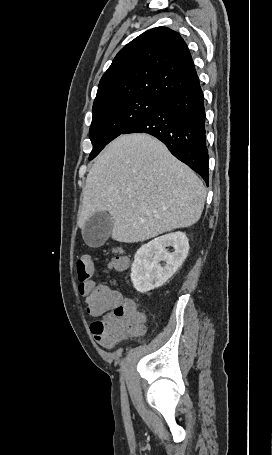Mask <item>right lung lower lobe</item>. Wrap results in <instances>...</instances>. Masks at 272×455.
I'll return each instance as SVG.
<instances>
[{"instance_id":"right-lung-lower-lobe-1","label":"right lung lower lobe","mask_w":272,"mask_h":455,"mask_svg":"<svg viewBox=\"0 0 272 455\" xmlns=\"http://www.w3.org/2000/svg\"><path fill=\"white\" fill-rule=\"evenodd\" d=\"M148 133L161 140L170 152L201 175L208 185V150L205 108L199 80L172 94L122 134Z\"/></svg>"}]
</instances>
